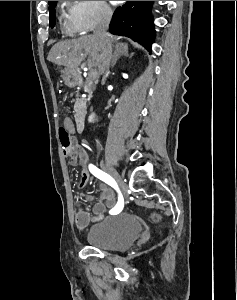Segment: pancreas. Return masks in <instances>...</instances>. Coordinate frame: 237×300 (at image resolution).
<instances>
[{
  "mask_svg": "<svg viewBox=\"0 0 237 300\" xmlns=\"http://www.w3.org/2000/svg\"><path fill=\"white\" fill-rule=\"evenodd\" d=\"M92 83H93L92 79H90V77H87L85 81L84 89H86L87 93H90V95L92 93V89H91Z\"/></svg>",
  "mask_w": 237,
  "mask_h": 300,
  "instance_id": "pancreas-1",
  "label": "pancreas"
}]
</instances>
